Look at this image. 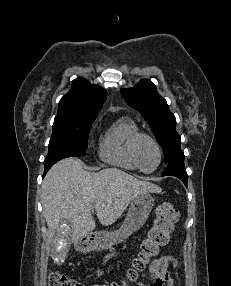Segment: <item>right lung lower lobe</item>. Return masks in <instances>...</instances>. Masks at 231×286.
I'll list each match as a JSON object with an SVG mask.
<instances>
[{
    "label": "right lung lower lobe",
    "instance_id": "right-lung-lower-lobe-1",
    "mask_svg": "<svg viewBox=\"0 0 231 286\" xmlns=\"http://www.w3.org/2000/svg\"><path fill=\"white\" fill-rule=\"evenodd\" d=\"M55 164V163H47V164H44L45 165V172H44V175L47 173V171L52 167V165ZM43 175V176H44Z\"/></svg>",
    "mask_w": 231,
    "mask_h": 286
}]
</instances>
